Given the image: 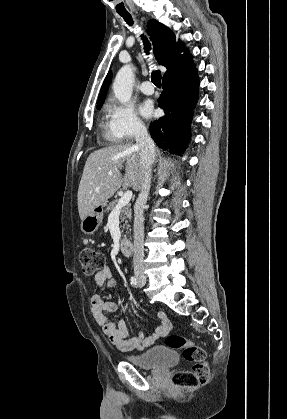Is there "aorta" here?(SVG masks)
Returning <instances> with one entry per match:
<instances>
[{"mask_svg":"<svg viewBox=\"0 0 287 419\" xmlns=\"http://www.w3.org/2000/svg\"><path fill=\"white\" fill-rule=\"evenodd\" d=\"M134 74L130 65H124L119 69L113 82V92L121 103H127L132 96Z\"/></svg>","mask_w":287,"mask_h":419,"instance_id":"obj_1","label":"aorta"}]
</instances>
